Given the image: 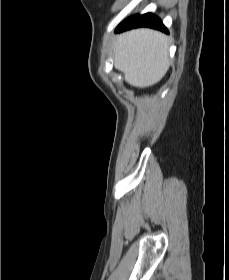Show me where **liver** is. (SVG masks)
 Here are the masks:
<instances>
[{
    "instance_id": "6515ba94",
    "label": "liver",
    "mask_w": 229,
    "mask_h": 280,
    "mask_svg": "<svg viewBox=\"0 0 229 280\" xmlns=\"http://www.w3.org/2000/svg\"><path fill=\"white\" fill-rule=\"evenodd\" d=\"M170 38L151 29L121 34L113 47L114 66L127 83L144 88L159 82L169 69Z\"/></svg>"
}]
</instances>
